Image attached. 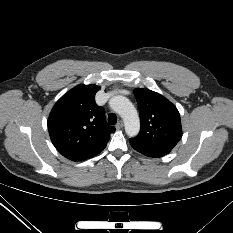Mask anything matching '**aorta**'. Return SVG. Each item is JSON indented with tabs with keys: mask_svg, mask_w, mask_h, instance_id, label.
<instances>
[{
	"mask_svg": "<svg viewBox=\"0 0 233 233\" xmlns=\"http://www.w3.org/2000/svg\"><path fill=\"white\" fill-rule=\"evenodd\" d=\"M110 107L118 113L124 121L125 132L134 137L139 133L140 120L136 108L130 100L124 96H114L109 101Z\"/></svg>",
	"mask_w": 233,
	"mask_h": 233,
	"instance_id": "obj_1",
	"label": "aorta"
}]
</instances>
